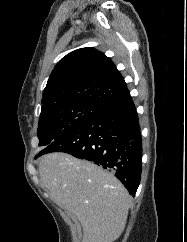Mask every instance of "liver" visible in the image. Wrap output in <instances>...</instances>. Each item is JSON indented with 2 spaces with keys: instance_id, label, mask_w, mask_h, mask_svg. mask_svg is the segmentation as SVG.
<instances>
[{
  "instance_id": "liver-1",
  "label": "liver",
  "mask_w": 187,
  "mask_h": 242,
  "mask_svg": "<svg viewBox=\"0 0 187 242\" xmlns=\"http://www.w3.org/2000/svg\"><path fill=\"white\" fill-rule=\"evenodd\" d=\"M41 183L83 228L82 242H114L123 232L130 197L122 183L95 164L65 153L39 160Z\"/></svg>"
}]
</instances>
